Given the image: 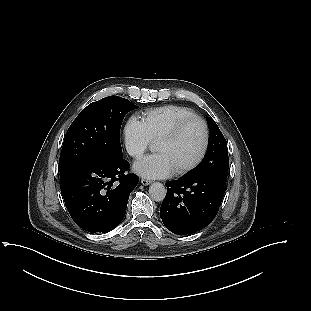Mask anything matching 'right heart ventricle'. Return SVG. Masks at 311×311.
<instances>
[{"label":"right heart ventricle","mask_w":311,"mask_h":311,"mask_svg":"<svg viewBox=\"0 0 311 311\" xmlns=\"http://www.w3.org/2000/svg\"><path fill=\"white\" fill-rule=\"evenodd\" d=\"M194 116L195 112L187 107L166 105L143 112L142 122L151 141H156L180 120Z\"/></svg>","instance_id":"1"}]
</instances>
